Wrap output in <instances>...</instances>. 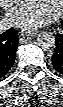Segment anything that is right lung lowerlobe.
<instances>
[{
    "label": "right lung lower lobe",
    "mask_w": 63,
    "mask_h": 107,
    "mask_svg": "<svg viewBox=\"0 0 63 107\" xmlns=\"http://www.w3.org/2000/svg\"><path fill=\"white\" fill-rule=\"evenodd\" d=\"M19 39L13 28L0 35V78L7 74L16 58Z\"/></svg>",
    "instance_id": "right-lung-lower-lobe-1"
}]
</instances>
